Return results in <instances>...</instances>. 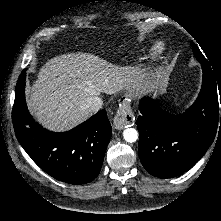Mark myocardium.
Segmentation results:
<instances>
[{
	"mask_svg": "<svg viewBox=\"0 0 221 221\" xmlns=\"http://www.w3.org/2000/svg\"><path fill=\"white\" fill-rule=\"evenodd\" d=\"M165 48L164 47H161L160 51H163Z\"/></svg>",
	"mask_w": 221,
	"mask_h": 221,
	"instance_id": "myocardium-1",
	"label": "myocardium"
}]
</instances>
